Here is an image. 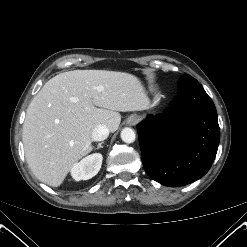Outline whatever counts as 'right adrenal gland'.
Instances as JSON below:
<instances>
[{
  "mask_svg": "<svg viewBox=\"0 0 247 247\" xmlns=\"http://www.w3.org/2000/svg\"><path fill=\"white\" fill-rule=\"evenodd\" d=\"M103 144H104V142L99 143L95 149L97 150L99 148H103Z\"/></svg>",
  "mask_w": 247,
  "mask_h": 247,
  "instance_id": "2a0ac1e0",
  "label": "right adrenal gland"
}]
</instances>
